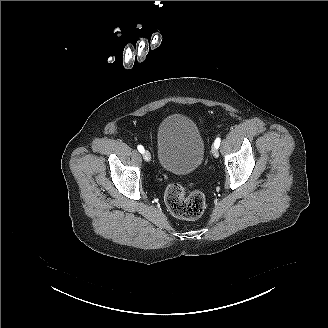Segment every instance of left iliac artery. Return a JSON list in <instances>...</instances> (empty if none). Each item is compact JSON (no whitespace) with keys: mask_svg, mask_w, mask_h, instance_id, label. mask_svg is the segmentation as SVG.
Masks as SVG:
<instances>
[{"mask_svg":"<svg viewBox=\"0 0 328 328\" xmlns=\"http://www.w3.org/2000/svg\"><path fill=\"white\" fill-rule=\"evenodd\" d=\"M220 142H221L220 138H216V140H215V142H214V146H215L216 148H219V146H220Z\"/></svg>","mask_w":328,"mask_h":328,"instance_id":"obj_1","label":"left iliac artery"}]
</instances>
